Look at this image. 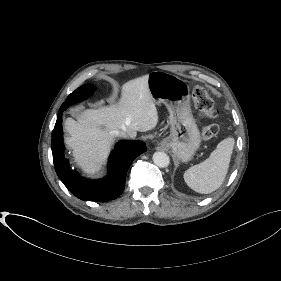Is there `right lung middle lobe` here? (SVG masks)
Returning <instances> with one entry per match:
<instances>
[{
	"label": "right lung middle lobe",
	"instance_id": "1",
	"mask_svg": "<svg viewBox=\"0 0 281 281\" xmlns=\"http://www.w3.org/2000/svg\"><path fill=\"white\" fill-rule=\"evenodd\" d=\"M96 90V87L92 84H86L78 89H76L74 92H72L66 102H64L59 110V113L64 111L66 108H68L70 105L80 102L84 99H86L88 96H90L94 91Z\"/></svg>",
	"mask_w": 281,
	"mask_h": 281
}]
</instances>
